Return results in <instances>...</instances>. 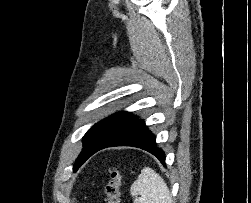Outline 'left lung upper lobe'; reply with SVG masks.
<instances>
[{"label": "left lung upper lobe", "mask_w": 251, "mask_h": 203, "mask_svg": "<svg viewBox=\"0 0 251 203\" xmlns=\"http://www.w3.org/2000/svg\"><path fill=\"white\" fill-rule=\"evenodd\" d=\"M135 120H137L135 115L129 112H119L92 126L83 137V149L73 170L78 169L95 149L107 143Z\"/></svg>", "instance_id": "left-lung-upper-lobe-1"}]
</instances>
